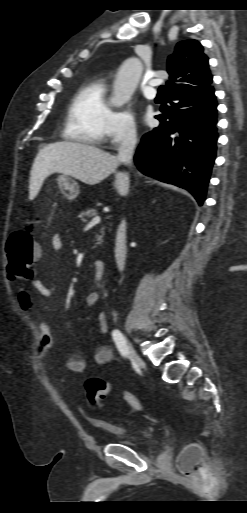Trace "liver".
<instances>
[{"mask_svg":"<svg viewBox=\"0 0 247 513\" xmlns=\"http://www.w3.org/2000/svg\"><path fill=\"white\" fill-rule=\"evenodd\" d=\"M120 161L112 154L95 146L78 142H56L42 148L33 163L29 185V198L33 199L44 179L57 172L70 175L88 185L98 184L115 174L114 186L121 194L129 190V176L116 171Z\"/></svg>","mask_w":247,"mask_h":513,"instance_id":"6515ba94","label":"liver"}]
</instances>
